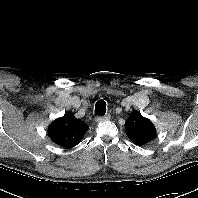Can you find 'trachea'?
Instances as JSON below:
<instances>
[{
  "mask_svg": "<svg viewBox=\"0 0 198 198\" xmlns=\"http://www.w3.org/2000/svg\"><path fill=\"white\" fill-rule=\"evenodd\" d=\"M106 113V103L104 100H99L95 104V115H105Z\"/></svg>",
  "mask_w": 198,
  "mask_h": 198,
  "instance_id": "3493384b",
  "label": "trachea"
}]
</instances>
